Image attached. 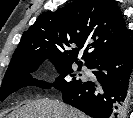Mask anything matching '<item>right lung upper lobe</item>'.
<instances>
[{"label": "right lung upper lobe", "instance_id": "1", "mask_svg": "<svg viewBox=\"0 0 133 118\" xmlns=\"http://www.w3.org/2000/svg\"><path fill=\"white\" fill-rule=\"evenodd\" d=\"M128 41L126 22L113 0H76L37 18L23 33L8 69L48 58L81 63L77 56L82 49L90 67Z\"/></svg>", "mask_w": 133, "mask_h": 118}]
</instances>
